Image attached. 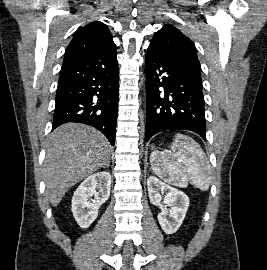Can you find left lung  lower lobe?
I'll use <instances>...</instances> for the list:
<instances>
[{"label":"left lung lower lobe","instance_id":"1","mask_svg":"<svg viewBox=\"0 0 267 270\" xmlns=\"http://www.w3.org/2000/svg\"><path fill=\"white\" fill-rule=\"evenodd\" d=\"M145 73V140L148 141L155 134L166 130H189L205 139L201 79L152 47L147 49Z\"/></svg>","mask_w":267,"mask_h":270}]
</instances>
